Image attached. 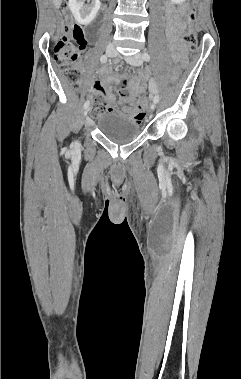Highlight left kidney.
Listing matches in <instances>:
<instances>
[{
    "label": "left kidney",
    "mask_w": 241,
    "mask_h": 379,
    "mask_svg": "<svg viewBox=\"0 0 241 379\" xmlns=\"http://www.w3.org/2000/svg\"><path fill=\"white\" fill-rule=\"evenodd\" d=\"M173 3L175 4H181L182 2H184L185 0H171Z\"/></svg>",
    "instance_id": "5707ae66"
}]
</instances>
